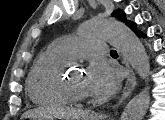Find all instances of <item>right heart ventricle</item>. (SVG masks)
Here are the masks:
<instances>
[{
  "mask_svg": "<svg viewBox=\"0 0 165 120\" xmlns=\"http://www.w3.org/2000/svg\"><path fill=\"white\" fill-rule=\"evenodd\" d=\"M69 58L49 46L37 59L28 78L27 89L38 104H66L71 101L64 88L63 70Z\"/></svg>",
  "mask_w": 165,
  "mask_h": 120,
  "instance_id": "1",
  "label": "right heart ventricle"
}]
</instances>
